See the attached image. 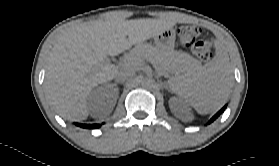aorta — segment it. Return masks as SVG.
<instances>
[{"instance_id": "obj_1", "label": "aorta", "mask_w": 279, "mask_h": 166, "mask_svg": "<svg viewBox=\"0 0 279 166\" xmlns=\"http://www.w3.org/2000/svg\"><path fill=\"white\" fill-rule=\"evenodd\" d=\"M153 84H154V79H152L150 77L149 78H145L142 81V85L145 86V87H152Z\"/></svg>"}]
</instances>
